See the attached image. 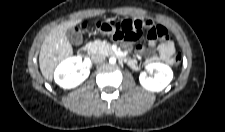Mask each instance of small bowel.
<instances>
[{"instance_id":"small-bowel-1","label":"small bowel","mask_w":225,"mask_h":132,"mask_svg":"<svg viewBox=\"0 0 225 132\" xmlns=\"http://www.w3.org/2000/svg\"><path fill=\"white\" fill-rule=\"evenodd\" d=\"M115 23L122 31H134L137 29H152L154 24L150 20H130L123 19L120 21L113 22ZM161 27V26H160ZM155 46V40L149 39L148 47L138 46V51L147 55L149 62H154L157 60L163 61L167 64H173V55L175 53V46L171 40L168 38L164 39L157 47L158 54H154L153 48ZM129 64L132 67H135V60H129Z\"/></svg>"}]
</instances>
